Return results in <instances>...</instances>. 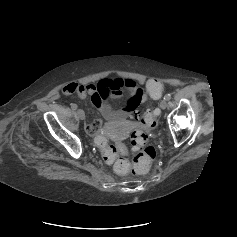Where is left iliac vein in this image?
Listing matches in <instances>:
<instances>
[{
  "label": "left iliac vein",
  "instance_id": "1",
  "mask_svg": "<svg viewBox=\"0 0 237 237\" xmlns=\"http://www.w3.org/2000/svg\"><path fill=\"white\" fill-rule=\"evenodd\" d=\"M167 107V100L166 99H163L161 102H160V108L161 109H166Z\"/></svg>",
  "mask_w": 237,
  "mask_h": 237
}]
</instances>
